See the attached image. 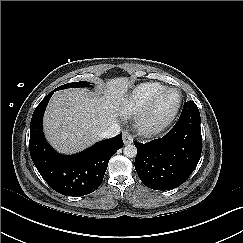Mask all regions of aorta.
I'll list each match as a JSON object with an SVG mask.
<instances>
[{
    "instance_id": "762f6f07",
    "label": "aorta",
    "mask_w": 243,
    "mask_h": 243,
    "mask_svg": "<svg viewBox=\"0 0 243 243\" xmlns=\"http://www.w3.org/2000/svg\"><path fill=\"white\" fill-rule=\"evenodd\" d=\"M123 153L128 158H134L137 154V148L133 144H128L124 147Z\"/></svg>"
}]
</instances>
